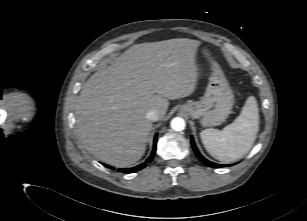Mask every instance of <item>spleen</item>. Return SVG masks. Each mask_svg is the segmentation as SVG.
<instances>
[{
    "label": "spleen",
    "mask_w": 307,
    "mask_h": 221,
    "mask_svg": "<svg viewBox=\"0 0 307 221\" xmlns=\"http://www.w3.org/2000/svg\"><path fill=\"white\" fill-rule=\"evenodd\" d=\"M259 130V109L254 96H249L240 115L223 130L205 129L200 137L207 152L215 159L234 162L251 149Z\"/></svg>",
    "instance_id": "obj_1"
}]
</instances>
